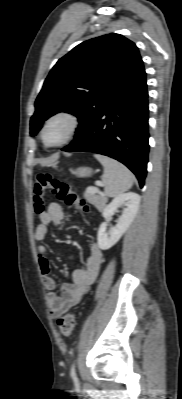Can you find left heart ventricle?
Instances as JSON below:
<instances>
[{"label": "left heart ventricle", "mask_w": 182, "mask_h": 399, "mask_svg": "<svg viewBox=\"0 0 182 399\" xmlns=\"http://www.w3.org/2000/svg\"><path fill=\"white\" fill-rule=\"evenodd\" d=\"M69 125L64 120H55L51 122L45 133L46 141L49 144H57L61 142L67 135Z\"/></svg>", "instance_id": "b2bd125f"}]
</instances>
